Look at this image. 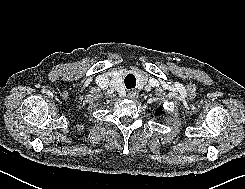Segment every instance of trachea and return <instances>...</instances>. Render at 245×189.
I'll use <instances>...</instances> for the list:
<instances>
[{
    "mask_svg": "<svg viewBox=\"0 0 245 189\" xmlns=\"http://www.w3.org/2000/svg\"><path fill=\"white\" fill-rule=\"evenodd\" d=\"M125 86L127 89H133L136 87V79L134 75L128 74L125 77Z\"/></svg>",
    "mask_w": 245,
    "mask_h": 189,
    "instance_id": "trachea-1",
    "label": "trachea"
}]
</instances>
